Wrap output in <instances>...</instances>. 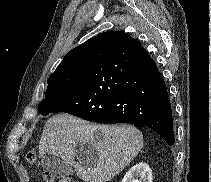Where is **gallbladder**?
I'll use <instances>...</instances> for the list:
<instances>
[{"label":"gallbladder","instance_id":"bac80fb5","mask_svg":"<svg viewBox=\"0 0 211 182\" xmlns=\"http://www.w3.org/2000/svg\"><path fill=\"white\" fill-rule=\"evenodd\" d=\"M75 152L76 156L80 158L82 161H85L86 154L92 156V160H95L97 158L96 151L89 145H84V144L78 145L75 148ZM41 165L46 170L59 176L73 174V170L70 165L65 163L59 157L53 155H44L41 158Z\"/></svg>","mask_w":211,"mask_h":182}]
</instances>
